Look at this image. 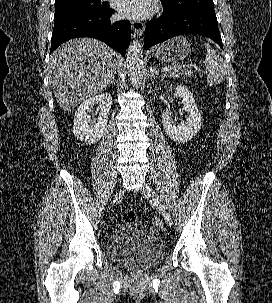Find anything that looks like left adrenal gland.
Returning a JSON list of instances; mask_svg holds the SVG:
<instances>
[{"label": "left adrenal gland", "mask_w": 272, "mask_h": 303, "mask_svg": "<svg viewBox=\"0 0 272 303\" xmlns=\"http://www.w3.org/2000/svg\"><path fill=\"white\" fill-rule=\"evenodd\" d=\"M151 76L155 79L157 77H161L164 78L165 75L162 74L161 76H159V72L156 70V68L151 69Z\"/></svg>", "instance_id": "1"}]
</instances>
